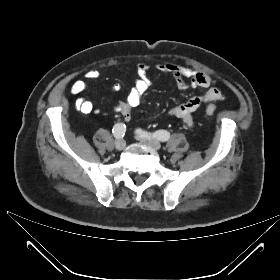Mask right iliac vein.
<instances>
[{
  "label": "right iliac vein",
  "mask_w": 280,
  "mask_h": 280,
  "mask_svg": "<svg viewBox=\"0 0 280 280\" xmlns=\"http://www.w3.org/2000/svg\"><path fill=\"white\" fill-rule=\"evenodd\" d=\"M115 147L117 150H123L126 147V142L123 139H119L115 142Z\"/></svg>",
  "instance_id": "obj_1"
}]
</instances>
